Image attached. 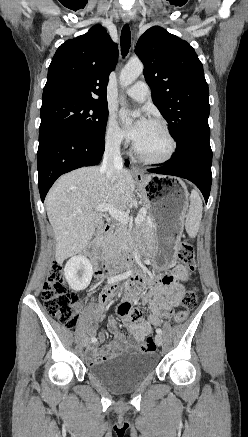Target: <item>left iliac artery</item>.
<instances>
[{"label":"left iliac artery","instance_id":"44dca946","mask_svg":"<svg viewBox=\"0 0 248 437\" xmlns=\"http://www.w3.org/2000/svg\"><path fill=\"white\" fill-rule=\"evenodd\" d=\"M156 333L161 335L162 334V330L160 328H157L156 329Z\"/></svg>","mask_w":248,"mask_h":437}]
</instances>
